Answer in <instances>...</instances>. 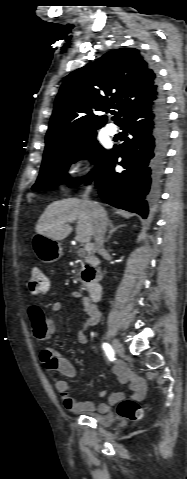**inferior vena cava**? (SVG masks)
<instances>
[{
  "label": "inferior vena cava",
  "mask_w": 187,
  "mask_h": 479,
  "mask_svg": "<svg viewBox=\"0 0 187 479\" xmlns=\"http://www.w3.org/2000/svg\"><path fill=\"white\" fill-rule=\"evenodd\" d=\"M90 191L91 187H87L83 194L82 201L90 211L93 224V237L97 251L99 254L103 255L106 253L104 248V236L108 225V218L104 208L98 202L89 199Z\"/></svg>",
  "instance_id": "obj_1"
}]
</instances>
